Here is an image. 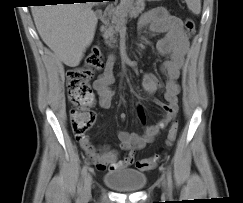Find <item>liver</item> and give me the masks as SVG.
I'll return each instance as SVG.
<instances>
[{
  "label": "liver",
  "instance_id": "6515ba94",
  "mask_svg": "<svg viewBox=\"0 0 243 203\" xmlns=\"http://www.w3.org/2000/svg\"><path fill=\"white\" fill-rule=\"evenodd\" d=\"M92 3L41 5L32 16L43 42L69 67L80 64L93 41L97 17Z\"/></svg>",
  "mask_w": 243,
  "mask_h": 203
}]
</instances>
